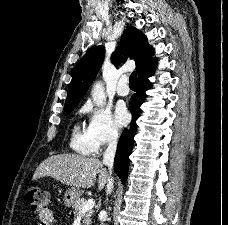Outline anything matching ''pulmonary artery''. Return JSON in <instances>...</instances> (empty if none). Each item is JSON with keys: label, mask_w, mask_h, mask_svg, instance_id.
I'll list each match as a JSON object with an SVG mask.
<instances>
[{"label": "pulmonary artery", "mask_w": 228, "mask_h": 225, "mask_svg": "<svg viewBox=\"0 0 228 225\" xmlns=\"http://www.w3.org/2000/svg\"><path fill=\"white\" fill-rule=\"evenodd\" d=\"M116 92L121 97H126L129 94V87L125 78L118 83Z\"/></svg>", "instance_id": "1"}]
</instances>
